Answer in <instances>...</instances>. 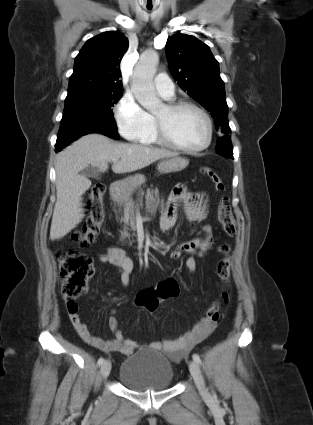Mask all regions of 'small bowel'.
I'll list each match as a JSON object with an SVG mask.
<instances>
[{
    "instance_id": "1",
    "label": "small bowel",
    "mask_w": 313,
    "mask_h": 425,
    "mask_svg": "<svg viewBox=\"0 0 313 425\" xmlns=\"http://www.w3.org/2000/svg\"><path fill=\"white\" fill-rule=\"evenodd\" d=\"M180 204L183 206L186 219L191 224H196L206 218V195L200 192H192L186 185L180 183L173 188L168 201L167 210L160 219L159 226L162 231H168L175 225L177 221V207ZM204 232L206 234L204 238H194L184 242L170 253L172 259L180 258L183 253L190 254L191 256L186 260V266L191 273H194L197 268L194 255L200 253L203 248L210 247L212 243L210 227L206 226ZM97 258L101 263H109L116 267L122 284L125 286L129 284L133 265L122 248L111 246L107 249V252L99 254ZM67 310L70 321L76 332L87 344L107 353L119 352L123 355H130L139 347L136 341L125 338L119 329L118 320L115 316L112 315L109 318V326L115 337L106 340L96 337L90 332L87 324L80 319L78 305L75 302L67 301ZM214 327L215 324H211L204 318L195 323L193 327L181 337L174 340L153 342L150 346L153 349H162L172 359L179 360L195 345L207 338Z\"/></svg>"
}]
</instances>
